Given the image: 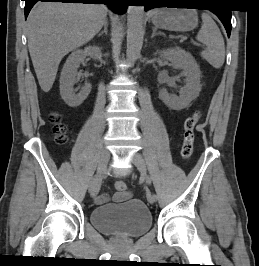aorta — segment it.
Masks as SVG:
<instances>
[{
    "instance_id": "762f6f07",
    "label": "aorta",
    "mask_w": 259,
    "mask_h": 266,
    "mask_svg": "<svg viewBox=\"0 0 259 266\" xmlns=\"http://www.w3.org/2000/svg\"><path fill=\"white\" fill-rule=\"evenodd\" d=\"M144 7L129 6L127 11V60L135 62L143 45L144 36Z\"/></svg>"
}]
</instances>
